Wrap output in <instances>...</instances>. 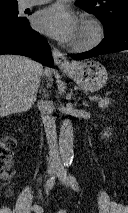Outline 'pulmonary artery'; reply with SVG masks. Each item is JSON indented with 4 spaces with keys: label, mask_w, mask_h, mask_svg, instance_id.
Instances as JSON below:
<instances>
[{
    "label": "pulmonary artery",
    "mask_w": 128,
    "mask_h": 213,
    "mask_svg": "<svg viewBox=\"0 0 128 213\" xmlns=\"http://www.w3.org/2000/svg\"><path fill=\"white\" fill-rule=\"evenodd\" d=\"M50 0H21L22 8H29L32 6L40 5L49 2Z\"/></svg>",
    "instance_id": "obj_1"
}]
</instances>
